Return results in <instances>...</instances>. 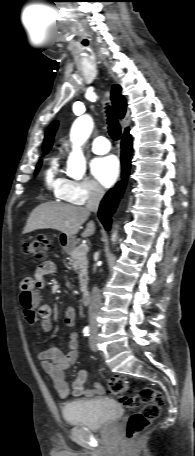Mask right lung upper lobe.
<instances>
[{"label": "right lung upper lobe", "instance_id": "obj_1", "mask_svg": "<svg viewBox=\"0 0 195 456\" xmlns=\"http://www.w3.org/2000/svg\"><path fill=\"white\" fill-rule=\"evenodd\" d=\"M121 87L119 85H114L111 92V100L113 107L118 118L122 119L126 113V100L124 96L120 94ZM58 123L57 121L53 122L46 131L45 139L43 142V152L47 153L53 143V137L57 130ZM128 131V128L125 130Z\"/></svg>", "mask_w": 195, "mask_h": 456}]
</instances>
